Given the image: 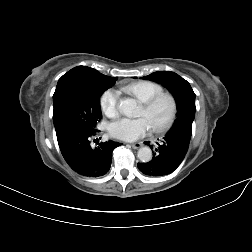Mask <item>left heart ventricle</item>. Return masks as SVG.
Returning <instances> with one entry per match:
<instances>
[{"label":"left heart ventricle","mask_w":252,"mask_h":252,"mask_svg":"<svg viewBox=\"0 0 252 252\" xmlns=\"http://www.w3.org/2000/svg\"><path fill=\"white\" fill-rule=\"evenodd\" d=\"M169 109V101L163 98L149 111L141 107L138 115L146 119L150 128L158 127L166 120Z\"/></svg>","instance_id":"obj_1"}]
</instances>
